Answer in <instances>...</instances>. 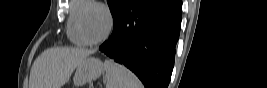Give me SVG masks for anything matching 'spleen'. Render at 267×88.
Segmentation results:
<instances>
[{"label": "spleen", "mask_w": 267, "mask_h": 88, "mask_svg": "<svg viewBox=\"0 0 267 88\" xmlns=\"http://www.w3.org/2000/svg\"><path fill=\"white\" fill-rule=\"evenodd\" d=\"M106 88H143L138 77L126 67L114 62L105 60Z\"/></svg>", "instance_id": "spleen-1"}]
</instances>
